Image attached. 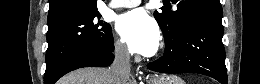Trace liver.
<instances>
[{"label":"liver","instance_id":"1","mask_svg":"<svg viewBox=\"0 0 260 84\" xmlns=\"http://www.w3.org/2000/svg\"><path fill=\"white\" fill-rule=\"evenodd\" d=\"M58 84H115L110 68L86 67L75 70L62 79ZM126 84H133L129 79Z\"/></svg>","mask_w":260,"mask_h":84}]
</instances>
